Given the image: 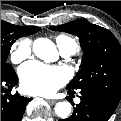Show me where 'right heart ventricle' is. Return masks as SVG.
Listing matches in <instances>:
<instances>
[{
  "label": "right heart ventricle",
  "instance_id": "e07e8e85",
  "mask_svg": "<svg viewBox=\"0 0 121 121\" xmlns=\"http://www.w3.org/2000/svg\"><path fill=\"white\" fill-rule=\"evenodd\" d=\"M56 43L59 47V49L63 48V47H67V46H76L75 41L65 35H59L56 37Z\"/></svg>",
  "mask_w": 121,
  "mask_h": 121
}]
</instances>
